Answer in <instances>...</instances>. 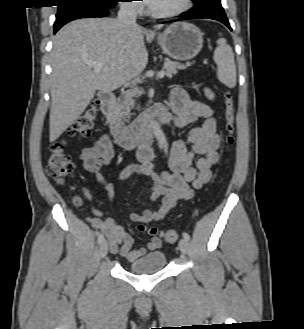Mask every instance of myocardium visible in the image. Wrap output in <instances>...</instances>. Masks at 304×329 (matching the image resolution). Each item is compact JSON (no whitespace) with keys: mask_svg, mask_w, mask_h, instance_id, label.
Here are the masks:
<instances>
[{"mask_svg":"<svg viewBox=\"0 0 304 329\" xmlns=\"http://www.w3.org/2000/svg\"><path fill=\"white\" fill-rule=\"evenodd\" d=\"M192 6V0H183L180 7L169 11H155L150 6L147 7V13L157 19H169L180 16L187 12Z\"/></svg>","mask_w":304,"mask_h":329,"instance_id":"myocardium-1","label":"myocardium"}]
</instances>
